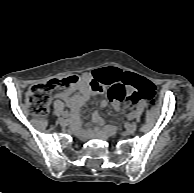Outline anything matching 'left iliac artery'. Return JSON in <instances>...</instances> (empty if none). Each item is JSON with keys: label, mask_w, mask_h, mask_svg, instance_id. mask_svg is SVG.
Returning <instances> with one entry per match:
<instances>
[{"label": "left iliac artery", "mask_w": 194, "mask_h": 193, "mask_svg": "<svg viewBox=\"0 0 194 193\" xmlns=\"http://www.w3.org/2000/svg\"><path fill=\"white\" fill-rule=\"evenodd\" d=\"M128 118L132 119L133 118V113L129 114Z\"/></svg>", "instance_id": "left-iliac-artery-1"}]
</instances>
